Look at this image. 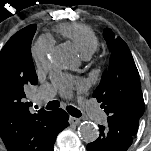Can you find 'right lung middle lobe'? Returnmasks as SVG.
<instances>
[{
	"instance_id": "right-lung-middle-lobe-1",
	"label": "right lung middle lobe",
	"mask_w": 151,
	"mask_h": 151,
	"mask_svg": "<svg viewBox=\"0 0 151 151\" xmlns=\"http://www.w3.org/2000/svg\"><path fill=\"white\" fill-rule=\"evenodd\" d=\"M36 25H29L13 35L0 52V79L14 85H24L36 76L31 56V41Z\"/></svg>"
}]
</instances>
